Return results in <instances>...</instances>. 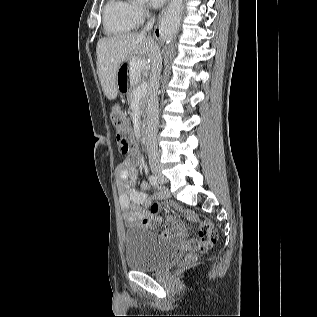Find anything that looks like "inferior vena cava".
<instances>
[{
    "mask_svg": "<svg viewBox=\"0 0 317 317\" xmlns=\"http://www.w3.org/2000/svg\"><path fill=\"white\" fill-rule=\"evenodd\" d=\"M155 18L152 17L141 31L142 35H146L154 25ZM152 41L153 39L149 37ZM162 70V57L158 45L154 44L153 49V63L151 72V86L152 90L148 97L147 106V120L145 129V140L147 146V152L149 157L150 166L152 169H157L160 165V154L157 144V127L159 124V105L157 91L159 88V79Z\"/></svg>",
    "mask_w": 317,
    "mask_h": 317,
    "instance_id": "602c4592",
    "label": "inferior vena cava"
}]
</instances>
